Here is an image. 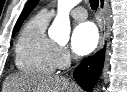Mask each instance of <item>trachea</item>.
Returning <instances> with one entry per match:
<instances>
[{
    "instance_id": "trachea-1",
    "label": "trachea",
    "mask_w": 127,
    "mask_h": 92,
    "mask_svg": "<svg viewBox=\"0 0 127 92\" xmlns=\"http://www.w3.org/2000/svg\"><path fill=\"white\" fill-rule=\"evenodd\" d=\"M99 6V1L98 0H90V7L92 10H96Z\"/></svg>"
}]
</instances>
